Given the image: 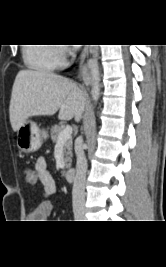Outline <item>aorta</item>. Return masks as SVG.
<instances>
[{
  "label": "aorta",
  "mask_w": 166,
  "mask_h": 267,
  "mask_svg": "<svg viewBox=\"0 0 166 267\" xmlns=\"http://www.w3.org/2000/svg\"><path fill=\"white\" fill-rule=\"evenodd\" d=\"M90 73L92 77V90L91 95L95 103H97L100 97V76H99V66L96 59H91L89 61Z\"/></svg>",
  "instance_id": "aorta-1"
}]
</instances>
